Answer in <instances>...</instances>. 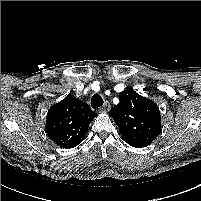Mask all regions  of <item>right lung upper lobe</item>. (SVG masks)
Returning a JSON list of instances; mask_svg holds the SVG:
<instances>
[{"label": "right lung upper lobe", "mask_w": 201, "mask_h": 201, "mask_svg": "<svg viewBox=\"0 0 201 201\" xmlns=\"http://www.w3.org/2000/svg\"><path fill=\"white\" fill-rule=\"evenodd\" d=\"M96 116L85 102L69 94L49 109L46 133L58 146L75 147L84 140L88 126Z\"/></svg>", "instance_id": "right-lung-upper-lobe-1"}]
</instances>
